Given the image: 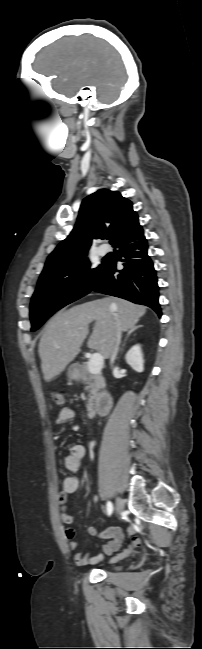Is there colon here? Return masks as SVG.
Segmentation results:
<instances>
[{
  "label": "colon",
  "mask_w": 202,
  "mask_h": 649,
  "mask_svg": "<svg viewBox=\"0 0 202 649\" xmlns=\"http://www.w3.org/2000/svg\"><path fill=\"white\" fill-rule=\"evenodd\" d=\"M52 399L54 403L58 406H62L65 403V395L62 391H55L52 393ZM134 543V541H133Z\"/></svg>",
  "instance_id": "5ec220e1"
}]
</instances>
